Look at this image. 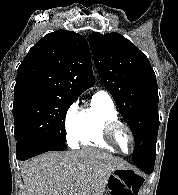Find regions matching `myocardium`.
I'll list each match as a JSON object with an SVG mask.
<instances>
[{"mask_svg": "<svg viewBox=\"0 0 178 195\" xmlns=\"http://www.w3.org/2000/svg\"><path fill=\"white\" fill-rule=\"evenodd\" d=\"M119 129H125L131 138L132 147H131V150L129 152H124L116 144L115 136H116V133ZM104 139L117 152L125 154V155L131 154L135 149L136 138H135V134H134L133 130L127 124H125L119 120L111 121L106 125V127L104 129Z\"/></svg>", "mask_w": 178, "mask_h": 195, "instance_id": "1", "label": "myocardium"}]
</instances>
